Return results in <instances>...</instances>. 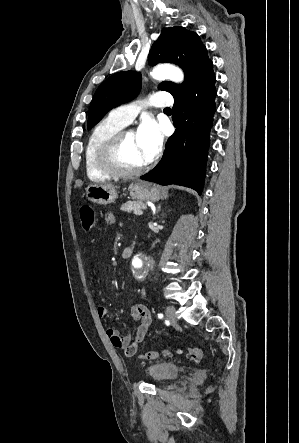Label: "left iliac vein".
Masks as SVG:
<instances>
[{
	"label": "left iliac vein",
	"mask_w": 299,
	"mask_h": 443,
	"mask_svg": "<svg viewBox=\"0 0 299 443\" xmlns=\"http://www.w3.org/2000/svg\"><path fill=\"white\" fill-rule=\"evenodd\" d=\"M165 313H166L167 319L170 323H172V324L177 323L176 310L173 306H167Z\"/></svg>",
	"instance_id": "4c4485c4"
}]
</instances>
